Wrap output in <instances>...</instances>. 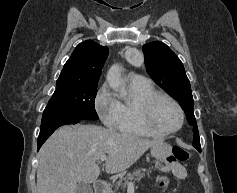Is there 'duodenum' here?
<instances>
[{
  "instance_id": "1",
  "label": "duodenum",
  "mask_w": 237,
  "mask_h": 193,
  "mask_svg": "<svg viewBox=\"0 0 237 193\" xmlns=\"http://www.w3.org/2000/svg\"><path fill=\"white\" fill-rule=\"evenodd\" d=\"M94 191L95 193H107L108 186L105 181L98 180L94 183Z\"/></svg>"
}]
</instances>
